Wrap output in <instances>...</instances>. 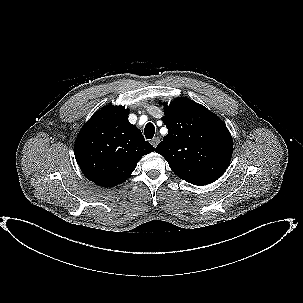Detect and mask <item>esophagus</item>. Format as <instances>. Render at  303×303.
<instances>
[{
	"label": "esophagus",
	"instance_id": "obj_1",
	"mask_svg": "<svg viewBox=\"0 0 303 303\" xmlns=\"http://www.w3.org/2000/svg\"><path fill=\"white\" fill-rule=\"evenodd\" d=\"M159 142H160L159 137H154V138L151 140V144L153 145V147H156V146L158 145Z\"/></svg>",
	"mask_w": 303,
	"mask_h": 303
}]
</instances>
